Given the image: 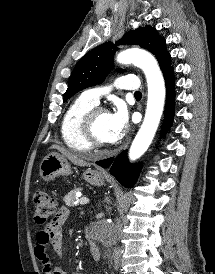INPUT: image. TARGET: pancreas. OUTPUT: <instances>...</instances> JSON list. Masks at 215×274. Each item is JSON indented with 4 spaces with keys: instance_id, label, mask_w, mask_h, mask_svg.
<instances>
[{
    "instance_id": "obj_1",
    "label": "pancreas",
    "mask_w": 215,
    "mask_h": 274,
    "mask_svg": "<svg viewBox=\"0 0 215 274\" xmlns=\"http://www.w3.org/2000/svg\"><path fill=\"white\" fill-rule=\"evenodd\" d=\"M81 190H82L81 188H76V189L72 190L70 193H68L63 199L65 204L69 207H73V206L77 205L75 203L77 200L76 193Z\"/></svg>"
}]
</instances>
